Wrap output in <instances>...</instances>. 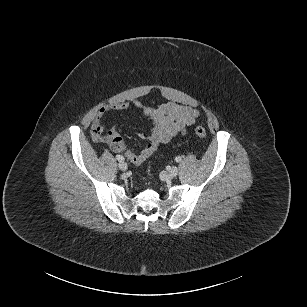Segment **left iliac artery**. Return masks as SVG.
Returning <instances> with one entry per match:
<instances>
[{"label":"left iliac artery","mask_w":307,"mask_h":307,"mask_svg":"<svg viewBox=\"0 0 307 307\" xmlns=\"http://www.w3.org/2000/svg\"><path fill=\"white\" fill-rule=\"evenodd\" d=\"M181 160H182V158H181L180 156H177V157L175 158V161H176V162H181Z\"/></svg>","instance_id":"obj_1"}]
</instances>
